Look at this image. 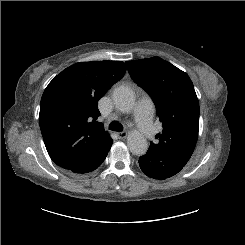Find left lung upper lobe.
Instances as JSON below:
<instances>
[{
    "mask_svg": "<svg viewBox=\"0 0 245 245\" xmlns=\"http://www.w3.org/2000/svg\"><path fill=\"white\" fill-rule=\"evenodd\" d=\"M132 79L151 96L163 131L149 149L185 166L196 146L199 102L189 76L160 57L127 61Z\"/></svg>",
    "mask_w": 245,
    "mask_h": 245,
    "instance_id": "1",
    "label": "left lung upper lobe"
}]
</instances>
